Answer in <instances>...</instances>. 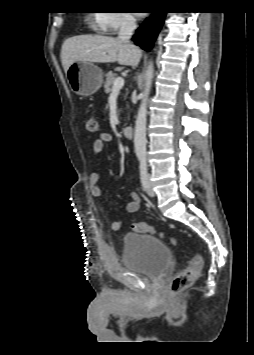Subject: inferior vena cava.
I'll return each mask as SVG.
<instances>
[{
	"mask_svg": "<svg viewBox=\"0 0 254 355\" xmlns=\"http://www.w3.org/2000/svg\"><path fill=\"white\" fill-rule=\"evenodd\" d=\"M135 29L136 23L133 21V19L129 17H123L121 21L120 31L118 33V39L130 44V38Z\"/></svg>",
	"mask_w": 254,
	"mask_h": 355,
	"instance_id": "1",
	"label": "inferior vena cava"
}]
</instances>
